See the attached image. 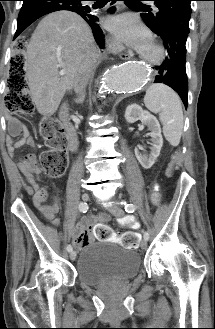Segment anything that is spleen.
<instances>
[{
	"label": "spleen",
	"mask_w": 215,
	"mask_h": 329,
	"mask_svg": "<svg viewBox=\"0 0 215 329\" xmlns=\"http://www.w3.org/2000/svg\"><path fill=\"white\" fill-rule=\"evenodd\" d=\"M144 103L150 111L159 113L166 140L172 146H178L184 119L181 100L177 93L164 84H154L147 89Z\"/></svg>",
	"instance_id": "spleen-1"
}]
</instances>
